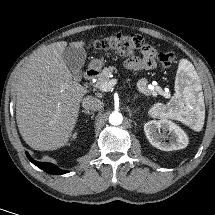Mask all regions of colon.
<instances>
[{
  "mask_svg": "<svg viewBox=\"0 0 215 215\" xmlns=\"http://www.w3.org/2000/svg\"><path fill=\"white\" fill-rule=\"evenodd\" d=\"M98 50H112L120 55L130 56L144 48V40L139 35L116 34L94 42ZM175 61V54L163 52L159 54V62L163 67H170Z\"/></svg>",
  "mask_w": 215,
  "mask_h": 215,
  "instance_id": "colon-1",
  "label": "colon"
}]
</instances>
